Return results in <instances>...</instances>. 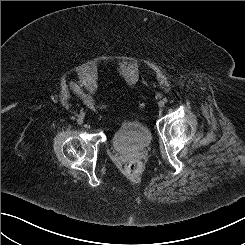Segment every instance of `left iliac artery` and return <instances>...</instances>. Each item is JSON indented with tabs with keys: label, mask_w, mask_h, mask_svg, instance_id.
Here are the masks:
<instances>
[{
	"label": "left iliac artery",
	"mask_w": 245,
	"mask_h": 245,
	"mask_svg": "<svg viewBox=\"0 0 245 245\" xmlns=\"http://www.w3.org/2000/svg\"><path fill=\"white\" fill-rule=\"evenodd\" d=\"M163 101L166 103L168 100H167V98H164Z\"/></svg>",
	"instance_id": "left-iliac-artery-1"
}]
</instances>
